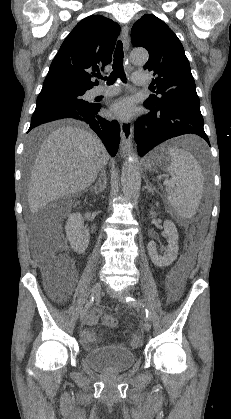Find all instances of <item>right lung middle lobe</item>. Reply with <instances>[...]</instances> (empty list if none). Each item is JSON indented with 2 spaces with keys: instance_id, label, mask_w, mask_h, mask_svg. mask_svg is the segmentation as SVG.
<instances>
[{
  "instance_id": "dd1d6c3e",
  "label": "right lung middle lobe",
  "mask_w": 231,
  "mask_h": 419,
  "mask_svg": "<svg viewBox=\"0 0 231 419\" xmlns=\"http://www.w3.org/2000/svg\"><path fill=\"white\" fill-rule=\"evenodd\" d=\"M85 91L64 85L45 86L37 97V104L49 102L88 104L81 98Z\"/></svg>"
}]
</instances>
